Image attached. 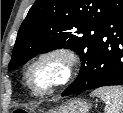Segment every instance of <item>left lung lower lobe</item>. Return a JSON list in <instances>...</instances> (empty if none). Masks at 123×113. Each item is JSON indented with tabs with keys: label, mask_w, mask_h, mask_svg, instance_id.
I'll return each mask as SVG.
<instances>
[{
	"label": "left lung lower lobe",
	"mask_w": 123,
	"mask_h": 113,
	"mask_svg": "<svg viewBox=\"0 0 123 113\" xmlns=\"http://www.w3.org/2000/svg\"><path fill=\"white\" fill-rule=\"evenodd\" d=\"M109 85H123V0H112L83 79L62 96Z\"/></svg>",
	"instance_id": "0a47b994"
}]
</instances>
